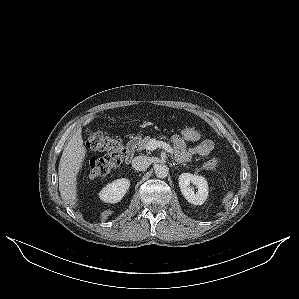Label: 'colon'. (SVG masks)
Returning a JSON list of instances; mask_svg holds the SVG:
<instances>
[{"label":"colon","mask_w":299,"mask_h":299,"mask_svg":"<svg viewBox=\"0 0 299 299\" xmlns=\"http://www.w3.org/2000/svg\"><path fill=\"white\" fill-rule=\"evenodd\" d=\"M176 135L190 142H197L203 139L202 131L195 127L180 128ZM87 146L94 151L105 152L104 156L90 160L88 173L91 177H101L110 173L112 169L120 164L125 153L120 140L100 132L89 134ZM215 164L216 161L209 163L210 166H214Z\"/></svg>","instance_id":"5ec220e1"}]
</instances>
